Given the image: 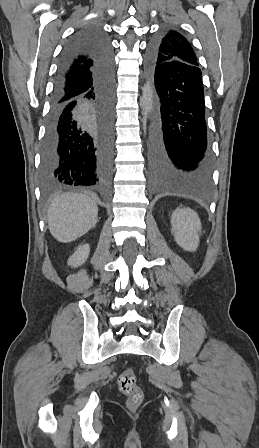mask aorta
<instances>
[{
    "instance_id": "obj_1",
    "label": "aorta",
    "mask_w": 259,
    "mask_h": 448,
    "mask_svg": "<svg viewBox=\"0 0 259 448\" xmlns=\"http://www.w3.org/2000/svg\"><path fill=\"white\" fill-rule=\"evenodd\" d=\"M154 103V90L150 82H146L142 88V97L140 98V104L142 107V114L145 117H149L153 110Z\"/></svg>"
}]
</instances>
